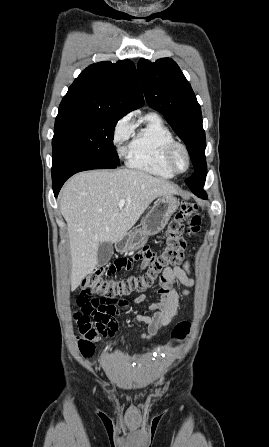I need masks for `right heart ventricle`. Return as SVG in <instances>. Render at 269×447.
I'll use <instances>...</instances> for the list:
<instances>
[{
  "label": "right heart ventricle",
  "mask_w": 269,
  "mask_h": 447,
  "mask_svg": "<svg viewBox=\"0 0 269 447\" xmlns=\"http://www.w3.org/2000/svg\"><path fill=\"white\" fill-rule=\"evenodd\" d=\"M127 152V165L163 178L176 173L167 165L168 146L175 141L171 129L156 113H147L138 124Z\"/></svg>",
  "instance_id": "e07e8e85"
}]
</instances>
